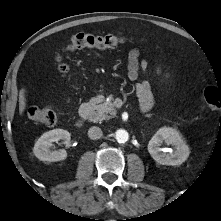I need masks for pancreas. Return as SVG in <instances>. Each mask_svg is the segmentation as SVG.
<instances>
[{"label":"pancreas","instance_id":"pancreas-1","mask_svg":"<svg viewBox=\"0 0 221 221\" xmlns=\"http://www.w3.org/2000/svg\"><path fill=\"white\" fill-rule=\"evenodd\" d=\"M109 100L106 101L103 95H98L91 99L90 103L93 107V112L89 116V120L98 122L102 120H108L115 116L116 109L113 104V96L110 95Z\"/></svg>","mask_w":221,"mask_h":221}]
</instances>
